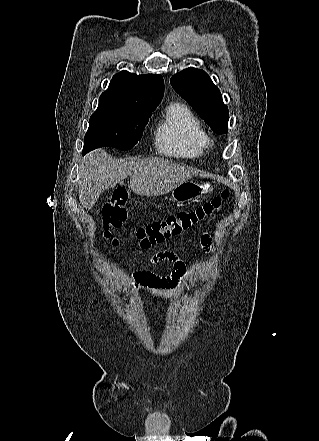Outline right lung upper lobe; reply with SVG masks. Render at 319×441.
Wrapping results in <instances>:
<instances>
[{"instance_id":"right-lung-upper-lobe-1","label":"right lung upper lobe","mask_w":319,"mask_h":441,"mask_svg":"<svg viewBox=\"0 0 319 441\" xmlns=\"http://www.w3.org/2000/svg\"><path fill=\"white\" fill-rule=\"evenodd\" d=\"M164 94L161 75H137L121 71L114 75L99 98L98 108L157 107Z\"/></svg>"}]
</instances>
